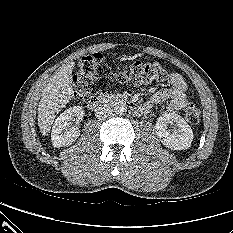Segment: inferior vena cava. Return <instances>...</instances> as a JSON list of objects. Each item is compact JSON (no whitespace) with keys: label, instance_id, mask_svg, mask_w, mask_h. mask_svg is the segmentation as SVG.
I'll return each instance as SVG.
<instances>
[{"label":"inferior vena cava","instance_id":"602c4592","mask_svg":"<svg viewBox=\"0 0 233 233\" xmlns=\"http://www.w3.org/2000/svg\"><path fill=\"white\" fill-rule=\"evenodd\" d=\"M113 109L108 104H102L95 110L98 119H106L111 116Z\"/></svg>","mask_w":233,"mask_h":233}]
</instances>
